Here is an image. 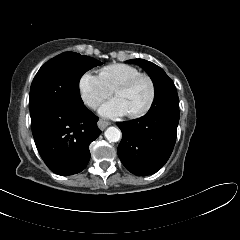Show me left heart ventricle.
<instances>
[{"label": "left heart ventricle", "mask_w": 240, "mask_h": 240, "mask_svg": "<svg viewBox=\"0 0 240 240\" xmlns=\"http://www.w3.org/2000/svg\"><path fill=\"white\" fill-rule=\"evenodd\" d=\"M116 95L127 103L130 112H135L147 104L150 97V85L147 80L142 79L131 88L120 90Z\"/></svg>", "instance_id": "b2bd125f"}]
</instances>
